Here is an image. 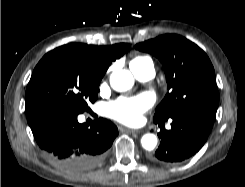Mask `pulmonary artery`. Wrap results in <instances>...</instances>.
I'll list each match as a JSON object with an SVG mask.
<instances>
[{
	"label": "pulmonary artery",
	"mask_w": 245,
	"mask_h": 187,
	"mask_svg": "<svg viewBox=\"0 0 245 187\" xmlns=\"http://www.w3.org/2000/svg\"><path fill=\"white\" fill-rule=\"evenodd\" d=\"M131 71L134 76L141 81H146L151 79L155 74V69L152 61L146 62L139 67H132Z\"/></svg>",
	"instance_id": "pulmonary-artery-1"
}]
</instances>
